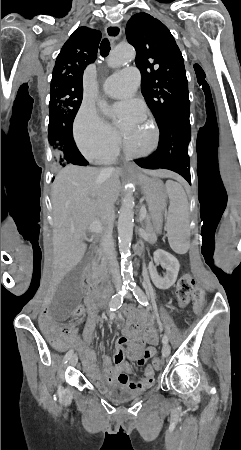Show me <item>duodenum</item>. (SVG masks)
<instances>
[{"mask_svg":"<svg viewBox=\"0 0 241 450\" xmlns=\"http://www.w3.org/2000/svg\"><path fill=\"white\" fill-rule=\"evenodd\" d=\"M83 282L87 287H95L96 294L99 299L104 300L109 297L111 287L110 286H97L95 278L90 270H85L82 275Z\"/></svg>","mask_w":241,"mask_h":450,"instance_id":"1","label":"duodenum"}]
</instances>
